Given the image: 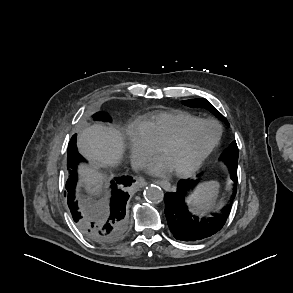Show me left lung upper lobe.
Wrapping results in <instances>:
<instances>
[{
	"instance_id": "obj_1",
	"label": "left lung upper lobe",
	"mask_w": 293,
	"mask_h": 293,
	"mask_svg": "<svg viewBox=\"0 0 293 293\" xmlns=\"http://www.w3.org/2000/svg\"><path fill=\"white\" fill-rule=\"evenodd\" d=\"M183 103L190 107H203L208 109L210 112H212L215 116H217L219 119L224 121L227 125H229L226 118L207 100L205 99H191V100H185ZM222 159L229 165H237L238 163V147L236 144V141H233L227 149L224 150L222 153Z\"/></svg>"
}]
</instances>
